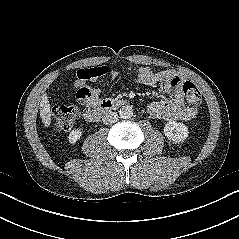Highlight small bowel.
<instances>
[{"instance_id":"small-bowel-1","label":"small bowel","mask_w":239,"mask_h":239,"mask_svg":"<svg viewBox=\"0 0 239 239\" xmlns=\"http://www.w3.org/2000/svg\"><path fill=\"white\" fill-rule=\"evenodd\" d=\"M98 68H84L77 71L75 81L76 98L80 104L86 107H95L101 100V90L91 86L89 83L96 82L102 75L107 74L110 80L117 77V72L114 70H106L102 75L88 76V74ZM138 81L144 85L155 87L161 80L164 81V89L172 95L171 101L153 102L148 106V112L155 118L166 121H189L193 119L197 110L188 107L184 103V98L181 93V85L184 78L178 74L171 72H155L148 66H141L137 69Z\"/></svg>"}]
</instances>
